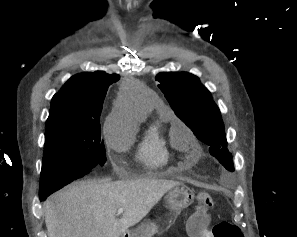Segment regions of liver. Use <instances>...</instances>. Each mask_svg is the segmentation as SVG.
I'll return each instance as SVG.
<instances>
[{
  "instance_id": "1",
  "label": "liver",
  "mask_w": 297,
  "mask_h": 237,
  "mask_svg": "<svg viewBox=\"0 0 297 237\" xmlns=\"http://www.w3.org/2000/svg\"><path fill=\"white\" fill-rule=\"evenodd\" d=\"M179 184L151 178L73 184L44 203L48 237H120ZM119 208L123 216L116 219Z\"/></svg>"
}]
</instances>
